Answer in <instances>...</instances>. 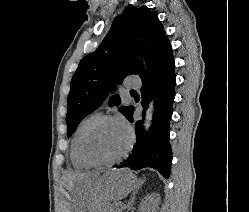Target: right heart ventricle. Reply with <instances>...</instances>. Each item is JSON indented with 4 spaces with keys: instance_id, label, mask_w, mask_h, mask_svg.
<instances>
[{
    "instance_id": "right-heart-ventricle-1",
    "label": "right heart ventricle",
    "mask_w": 249,
    "mask_h": 212,
    "mask_svg": "<svg viewBox=\"0 0 249 212\" xmlns=\"http://www.w3.org/2000/svg\"><path fill=\"white\" fill-rule=\"evenodd\" d=\"M97 116L96 113H90L87 116H85L78 124V126L76 127L71 141H70V145H69V161L71 166L76 169V170H82L84 168H86L87 166L84 165L78 155H77V142L78 139L83 131V129L85 128V126L92 121L95 117Z\"/></svg>"
}]
</instances>
